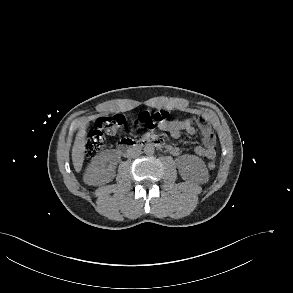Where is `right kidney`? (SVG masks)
Listing matches in <instances>:
<instances>
[{
	"label": "right kidney",
	"instance_id": "right-kidney-1",
	"mask_svg": "<svg viewBox=\"0 0 293 293\" xmlns=\"http://www.w3.org/2000/svg\"><path fill=\"white\" fill-rule=\"evenodd\" d=\"M115 176L113 167L108 164L105 156L96 157L84 175V182L88 185L98 186L110 182Z\"/></svg>",
	"mask_w": 293,
	"mask_h": 293
}]
</instances>
